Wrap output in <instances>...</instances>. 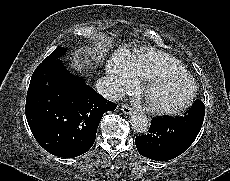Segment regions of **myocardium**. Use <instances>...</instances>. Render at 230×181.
Segmentation results:
<instances>
[{
    "label": "myocardium",
    "mask_w": 230,
    "mask_h": 181,
    "mask_svg": "<svg viewBox=\"0 0 230 181\" xmlns=\"http://www.w3.org/2000/svg\"><path fill=\"white\" fill-rule=\"evenodd\" d=\"M183 78L189 81L191 89L186 97L178 104L175 105H161L151 100L150 94L154 86L169 78ZM146 101L150 110L156 114L161 115H176L185 110L193 101L197 93V84L194 78L184 69L174 72L162 71L158 72L144 82H142L136 89Z\"/></svg>",
    "instance_id": "1"
}]
</instances>
